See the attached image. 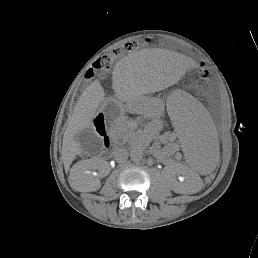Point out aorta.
<instances>
[{"label":"aorta","mask_w":258,"mask_h":258,"mask_svg":"<svg viewBox=\"0 0 258 258\" xmlns=\"http://www.w3.org/2000/svg\"><path fill=\"white\" fill-rule=\"evenodd\" d=\"M130 156H131L132 161H134L135 163H138L142 159V152L137 149H132Z\"/></svg>","instance_id":"obj_1"}]
</instances>
